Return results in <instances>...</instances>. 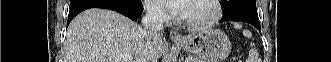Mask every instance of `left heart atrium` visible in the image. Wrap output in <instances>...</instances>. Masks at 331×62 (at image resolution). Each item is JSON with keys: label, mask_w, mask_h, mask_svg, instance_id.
<instances>
[{"label": "left heart atrium", "mask_w": 331, "mask_h": 62, "mask_svg": "<svg viewBox=\"0 0 331 62\" xmlns=\"http://www.w3.org/2000/svg\"><path fill=\"white\" fill-rule=\"evenodd\" d=\"M169 12L185 16L188 13L190 0H159Z\"/></svg>", "instance_id": "obj_1"}]
</instances>
